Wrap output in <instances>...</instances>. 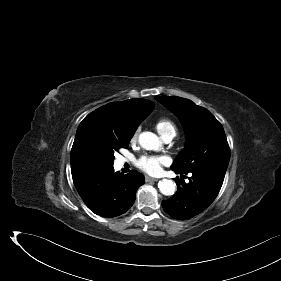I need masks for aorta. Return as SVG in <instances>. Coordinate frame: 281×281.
I'll list each match as a JSON object with an SVG mask.
<instances>
[{
    "label": "aorta",
    "mask_w": 281,
    "mask_h": 281,
    "mask_svg": "<svg viewBox=\"0 0 281 281\" xmlns=\"http://www.w3.org/2000/svg\"><path fill=\"white\" fill-rule=\"evenodd\" d=\"M138 141L140 146L146 150H156L160 145L159 138L152 132H142ZM158 188L163 195L169 196L175 193L176 184L173 180L162 179L158 183Z\"/></svg>",
    "instance_id": "aorta-1"
}]
</instances>
